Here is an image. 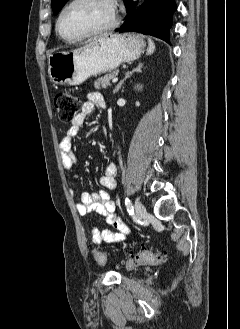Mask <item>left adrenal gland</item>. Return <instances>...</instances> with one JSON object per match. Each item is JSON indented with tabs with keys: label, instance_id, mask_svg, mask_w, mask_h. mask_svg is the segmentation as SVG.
Returning a JSON list of instances; mask_svg holds the SVG:
<instances>
[{
	"label": "left adrenal gland",
	"instance_id": "1",
	"mask_svg": "<svg viewBox=\"0 0 240 329\" xmlns=\"http://www.w3.org/2000/svg\"><path fill=\"white\" fill-rule=\"evenodd\" d=\"M142 67H143V64L142 63H139L138 64V66L135 68V69H133L132 71H130V72H127L126 74H125V77L117 84V86L115 87V89H114V93H117L118 91H119V89L121 88V86H122V84L124 83V81L126 80V79H128L129 77H131V75L133 74V73H135V72H141V69H142Z\"/></svg>",
	"mask_w": 240,
	"mask_h": 329
}]
</instances>
